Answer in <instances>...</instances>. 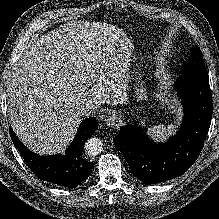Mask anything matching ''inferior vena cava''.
Wrapping results in <instances>:
<instances>
[{"label": "inferior vena cava", "instance_id": "1", "mask_svg": "<svg viewBox=\"0 0 219 219\" xmlns=\"http://www.w3.org/2000/svg\"><path fill=\"white\" fill-rule=\"evenodd\" d=\"M76 110L81 117L90 116L95 111L94 107L88 103L78 104Z\"/></svg>", "mask_w": 219, "mask_h": 219}]
</instances>
